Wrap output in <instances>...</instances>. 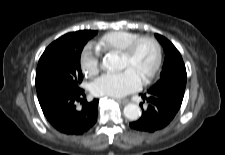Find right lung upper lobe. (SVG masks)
<instances>
[{
  "instance_id": "cb5924a9",
  "label": "right lung upper lobe",
  "mask_w": 225,
  "mask_h": 155,
  "mask_svg": "<svg viewBox=\"0 0 225 155\" xmlns=\"http://www.w3.org/2000/svg\"><path fill=\"white\" fill-rule=\"evenodd\" d=\"M95 32L96 31L83 30V31L68 33V35H71V36H91V35H94Z\"/></svg>"
}]
</instances>
